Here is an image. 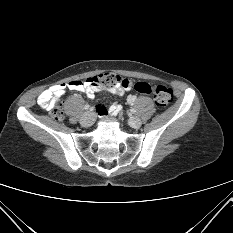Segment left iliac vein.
Here are the masks:
<instances>
[{"mask_svg": "<svg viewBox=\"0 0 233 233\" xmlns=\"http://www.w3.org/2000/svg\"><path fill=\"white\" fill-rule=\"evenodd\" d=\"M142 122L140 120V118L138 117H131L129 119V125L132 127V128H139L141 126Z\"/></svg>", "mask_w": 233, "mask_h": 233, "instance_id": "4c4485c4", "label": "left iliac vein"}]
</instances>
